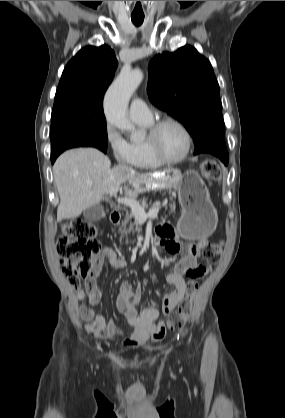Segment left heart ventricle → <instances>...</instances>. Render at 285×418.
I'll list each match as a JSON object with an SVG mask.
<instances>
[{
	"label": "left heart ventricle",
	"mask_w": 285,
	"mask_h": 418,
	"mask_svg": "<svg viewBox=\"0 0 285 418\" xmlns=\"http://www.w3.org/2000/svg\"><path fill=\"white\" fill-rule=\"evenodd\" d=\"M157 144L166 157L175 159L184 153L186 137L179 127L167 124L160 130Z\"/></svg>",
	"instance_id": "1"
}]
</instances>
